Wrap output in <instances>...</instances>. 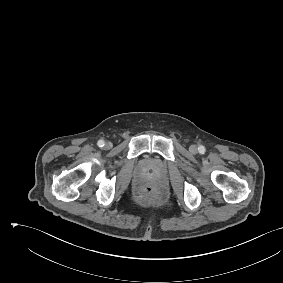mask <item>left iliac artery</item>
Returning a JSON list of instances; mask_svg holds the SVG:
<instances>
[{
	"mask_svg": "<svg viewBox=\"0 0 283 283\" xmlns=\"http://www.w3.org/2000/svg\"><path fill=\"white\" fill-rule=\"evenodd\" d=\"M198 151H199L200 153H204V152H205V147L202 146V145H200V146L198 147Z\"/></svg>",
	"mask_w": 283,
	"mask_h": 283,
	"instance_id": "44dca946",
	"label": "left iliac artery"
}]
</instances>
